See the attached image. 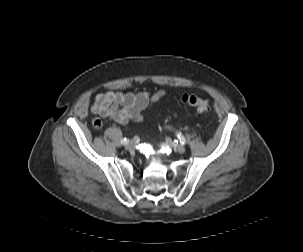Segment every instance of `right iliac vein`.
Listing matches in <instances>:
<instances>
[{
  "instance_id": "63e3f726",
  "label": "right iliac vein",
  "mask_w": 303,
  "mask_h": 252,
  "mask_svg": "<svg viewBox=\"0 0 303 252\" xmlns=\"http://www.w3.org/2000/svg\"><path fill=\"white\" fill-rule=\"evenodd\" d=\"M133 147H134V143L132 141H130V142H128V143L125 144V148L128 151L132 150Z\"/></svg>"
}]
</instances>
